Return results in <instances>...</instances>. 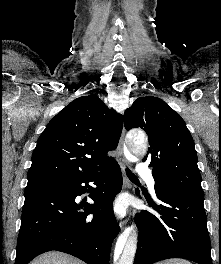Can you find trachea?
<instances>
[{
  "label": "trachea",
  "instance_id": "3493384b",
  "mask_svg": "<svg viewBox=\"0 0 221 264\" xmlns=\"http://www.w3.org/2000/svg\"><path fill=\"white\" fill-rule=\"evenodd\" d=\"M126 173L132 181H138L137 177L128 168H126Z\"/></svg>",
  "mask_w": 221,
  "mask_h": 264
}]
</instances>
